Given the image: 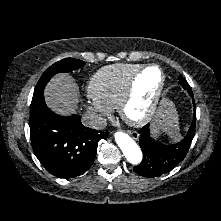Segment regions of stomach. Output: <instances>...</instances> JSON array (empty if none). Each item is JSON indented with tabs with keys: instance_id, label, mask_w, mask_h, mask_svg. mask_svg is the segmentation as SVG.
Segmentation results:
<instances>
[{
	"instance_id": "0dacf381",
	"label": "stomach",
	"mask_w": 221,
	"mask_h": 221,
	"mask_svg": "<svg viewBox=\"0 0 221 221\" xmlns=\"http://www.w3.org/2000/svg\"><path fill=\"white\" fill-rule=\"evenodd\" d=\"M164 101H167V100H162L161 101V104L164 102ZM160 104V106H161ZM166 128V125L165 123L162 121L161 117H160V114H159V110H158V113L156 115V119L154 121V124L152 126V134L155 138H158L165 130Z\"/></svg>"
}]
</instances>
